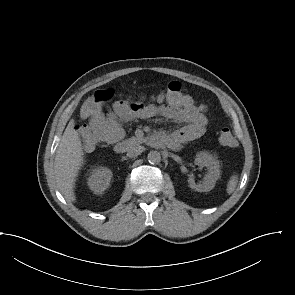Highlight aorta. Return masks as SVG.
Wrapping results in <instances>:
<instances>
[{
	"label": "aorta",
	"mask_w": 295,
	"mask_h": 295,
	"mask_svg": "<svg viewBox=\"0 0 295 295\" xmlns=\"http://www.w3.org/2000/svg\"><path fill=\"white\" fill-rule=\"evenodd\" d=\"M147 159L151 164H158L161 161V155L158 151H150L148 153Z\"/></svg>",
	"instance_id": "obj_1"
}]
</instances>
